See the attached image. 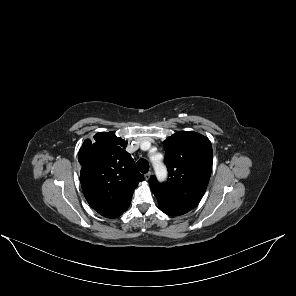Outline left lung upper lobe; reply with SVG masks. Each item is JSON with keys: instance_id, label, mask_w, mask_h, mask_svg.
Segmentation results:
<instances>
[{"instance_id": "obj_1", "label": "left lung upper lobe", "mask_w": 296, "mask_h": 296, "mask_svg": "<svg viewBox=\"0 0 296 296\" xmlns=\"http://www.w3.org/2000/svg\"><path fill=\"white\" fill-rule=\"evenodd\" d=\"M168 180H149L152 192L163 212L185 214L192 210L204 195L212 171L210 140L196 132L181 131L164 142Z\"/></svg>"}]
</instances>
